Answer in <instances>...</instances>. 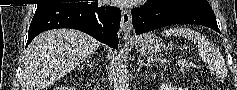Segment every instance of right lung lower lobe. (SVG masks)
<instances>
[{
  "mask_svg": "<svg viewBox=\"0 0 237 90\" xmlns=\"http://www.w3.org/2000/svg\"><path fill=\"white\" fill-rule=\"evenodd\" d=\"M121 11L115 7L98 6L95 2L39 4L29 27L26 46L38 34L55 28L83 31L110 47H118L117 32Z\"/></svg>",
  "mask_w": 237,
  "mask_h": 90,
  "instance_id": "98d812e1",
  "label": "right lung lower lobe"
}]
</instances>
